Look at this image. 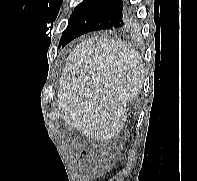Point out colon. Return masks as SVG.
Segmentation results:
<instances>
[{
	"label": "colon",
	"instance_id": "colon-1",
	"mask_svg": "<svg viewBox=\"0 0 197 181\" xmlns=\"http://www.w3.org/2000/svg\"><path fill=\"white\" fill-rule=\"evenodd\" d=\"M109 167H110V162L108 161V159H103L98 164V170L101 173L108 170Z\"/></svg>",
	"mask_w": 197,
	"mask_h": 181
}]
</instances>
